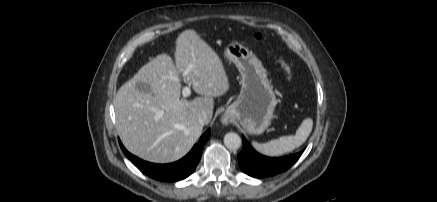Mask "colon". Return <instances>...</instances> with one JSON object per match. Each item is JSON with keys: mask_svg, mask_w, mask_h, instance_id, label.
Masks as SVG:
<instances>
[{"mask_svg": "<svg viewBox=\"0 0 437 202\" xmlns=\"http://www.w3.org/2000/svg\"><path fill=\"white\" fill-rule=\"evenodd\" d=\"M256 39L259 41H262L264 38L262 35L257 34ZM278 63L280 64L281 68L283 69V71L286 73L288 79H291L292 76V62L285 56V55H280L278 58Z\"/></svg>", "mask_w": 437, "mask_h": 202, "instance_id": "1", "label": "colon"}]
</instances>
